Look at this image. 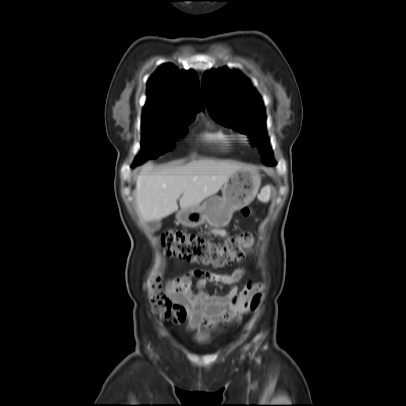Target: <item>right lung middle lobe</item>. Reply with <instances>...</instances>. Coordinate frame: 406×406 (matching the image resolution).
<instances>
[{"mask_svg": "<svg viewBox=\"0 0 406 406\" xmlns=\"http://www.w3.org/2000/svg\"><path fill=\"white\" fill-rule=\"evenodd\" d=\"M191 121L143 120L141 153L134 165L155 159L175 147V141L187 133Z\"/></svg>", "mask_w": 406, "mask_h": 406, "instance_id": "1", "label": "right lung middle lobe"}]
</instances>
